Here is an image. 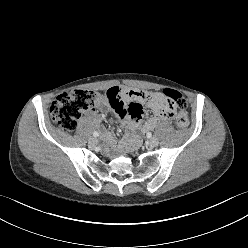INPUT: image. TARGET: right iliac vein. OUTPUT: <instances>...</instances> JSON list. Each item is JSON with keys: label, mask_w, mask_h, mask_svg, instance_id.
Returning a JSON list of instances; mask_svg holds the SVG:
<instances>
[{"label": "right iliac vein", "mask_w": 248, "mask_h": 248, "mask_svg": "<svg viewBox=\"0 0 248 248\" xmlns=\"http://www.w3.org/2000/svg\"><path fill=\"white\" fill-rule=\"evenodd\" d=\"M89 143L91 145H96L98 143V140L95 137L89 138Z\"/></svg>", "instance_id": "right-iliac-vein-1"}]
</instances>
